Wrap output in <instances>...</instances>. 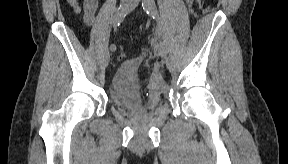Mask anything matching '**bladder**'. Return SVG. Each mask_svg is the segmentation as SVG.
<instances>
[{
	"label": "bladder",
	"instance_id": "bladder-1",
	"mask_svg": "<svg viewBox=\"0 0 288 164\" xmlns=\"http://www.w3.org/2000/svg\"><path fill=\"white\" fill-rule=\"evenodd\" d=\"M139 64V59H130L118 66L113 73L109 87V99L112 105L120 111L153 110L158 104L156 92L142 90L137 78Z\"/></svg>",
	"mask_w": 288,
	"mask_h": 164
}]
</instances>
